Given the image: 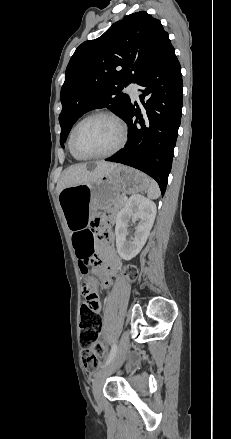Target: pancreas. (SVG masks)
Listing matches in <instances>:
<instances>
[{"instance_id":"obj_1","label":"pancreas","mask_w":231,"mask_h":439,"mask_svg":"<svg viewBox=\"0 0 231 439\" xmlns=\"http://www.w3.org/2000/svg\"><path fill=\"white\" fill-rule=\"evenodd\" d=\"M125 202L126 200H124L122 196L116 197L114 200V204L117 208H121Z\"/></svg>"}]
</instances>
